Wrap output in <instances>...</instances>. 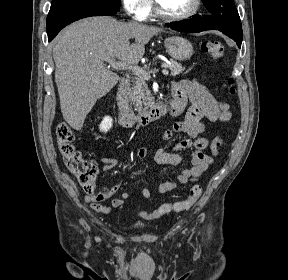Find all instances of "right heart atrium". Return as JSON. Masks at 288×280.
Returning <instances> with one entry per match:
<instances>
[{"label":"right heart atrium","instance_id":"obj_1","mask_svg":"<svg viewBox=\"0 0 288 280\" xmlns=\"http://www.w3.org/2000/svg\"><path fill=\"white\" fill-rule=\"evenodd\" d=\"M125 12L136 20L146 19L152 10V0H121Z\"/></svg>","mask_w":288,"mask_h":280}]
</instances>
